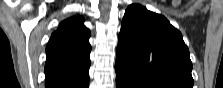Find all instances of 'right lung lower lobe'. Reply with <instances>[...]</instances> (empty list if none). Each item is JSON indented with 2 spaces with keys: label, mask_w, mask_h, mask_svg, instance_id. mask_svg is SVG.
Segmentation results:
<instances>
[{
  "label": "right lung lower lobe",
  "mask_w": 223,
  "mask_h": 88,
  "mask_svg": "<svg viewBox=\"0 0 223 88\" xmlns=\"http://www.w3.org/2000/svg\"><path fill=\"white\" fill-rule=\"evenodd\" d=\"M89 80L84 84L80 85L79 88H88Z\"/></svg>",
  "instance_id": "right-lung-lower-lobe-1"
}]
</instances>
